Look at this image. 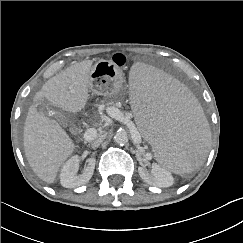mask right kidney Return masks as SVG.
<instances>
[{
    "mask_svg": "<svg viewBox=\"0 0 243 243\" xmlns=\"http://www.w3.org/2000/svg\"><path fill=\"white\" fill-rule=\"evenodd\" d=\"M86 167L82 174L77 175L79 170L78 155L72 156L62 167L60 183L65 188H75L86 184L92 177L95 168V159L88 158Z\"/></svg>",
    "mask_w": 243,
    "mask_h": 243,
    "instance_id": "1",
    "label": "right kidney"
}]
</instances>
